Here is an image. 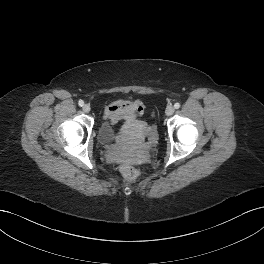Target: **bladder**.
I'll list each match as a JSON object with an SVG mask.
<instances>
[{
	"mask_svg": "<svg viewBox=\"0 0 264 264\" xmlns=\"http://www.w3.org/2000/svg\"><path fill=\"white\" fill-rule=\"evenodd\" d=\"M143 128L145 126L143 125ZM117 134H116V128L115 126L109 122L108 120H103L100 123V126L98 128V139L99 141L104 144H110L116 140Z\"/></svg>",
	"mask_w": 264,
	"mask_h": 264,
	"instance_id": "1",
	"label": "bladder"
}]
</instances>
